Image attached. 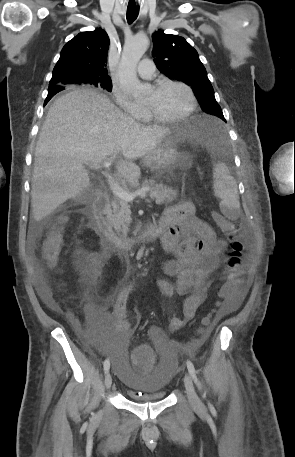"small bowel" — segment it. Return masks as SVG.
Masks as SVG:
<instances>
[{
  "label": "small bowel",
  "instance_id": "c3829d8e",
  "mask_svg": "<svg viewBox=\"0 0 295 457\" xmlns=\"http://www.w3.org/2000/svg\"><path fill=\"white\" fill-rule=\"evenodd\" d=\"M159 221L164 227L162 248L175 257L162 269L165 274L175 277V281L157 279L156 286L169 298L188 294L180 306V315L174 314L169 322V329L178 331L194 319L198 307L206 301L210 275L220 266L226 242L196 216L194 205L188 200L166 208ZM131 291V285L123 288L110 303V311L106 304L91 302L85 306L87 322L97 334L115 333L117 338L131 335L132 328L126 318V303ZM41 292L46 305L58 310L49 290L43 287ZM244 292L241 285L237 298L228 303L230 309L238 306ZM149 335L154 341L163 342L159 326H151Z\"/></svg>",
  "mask_w": 295,
  "mask_h": 457
}]
</instances>
